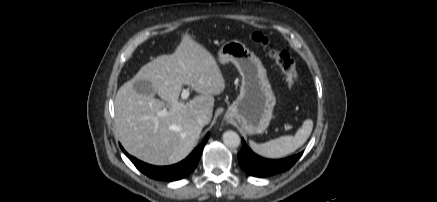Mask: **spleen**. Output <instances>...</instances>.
<instances>
[{"label": "spleen", "instance_id": "obj_1", "mask_svg": "<svg viewBox=\"0 0 437 202\" xmlns=\"http://www.w3.org/2000/svg\"><path fill=\"white\" fill-rule=\"evenodd\" d=\"M313 129V121L307 119L294 136H281L268 142L257 144L250 140L251 149L266 158H281L300 148L309 138Z\"/></svg>", "mask_w": 437, "mask_h": 202}]
</instances>
